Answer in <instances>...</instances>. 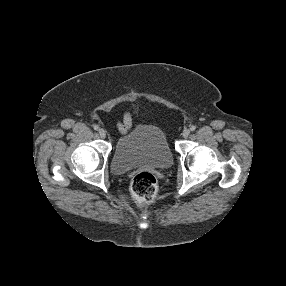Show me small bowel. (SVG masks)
<instances>
[{
  "label": "small bowel",
  "mask_w": 286,
  "mask_h": 286,
  "mask_svg": "<svg viewBox=\"0 0 286 286\" xmlns=\"http://www.w3.org/2000/svg\"><path fill=\"white\" fill-rule=\"evenodd\" d=\"M130 125H131V117L129 115H126L123 118L122 122L120 123V129L122 131H125L130 127Z\"/></svg>",
  "instance_id": "obj_1"
}]
</instances>
